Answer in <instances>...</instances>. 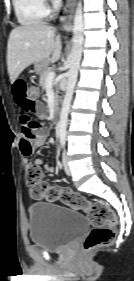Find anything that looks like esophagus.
Instances as JSON below:
<instances>
[{
	"mask_svg": "<svg viewBox=\"0 0 134 281\" xmlns=\"http://www.w3.org/2000/svg\"><path fill=\"white\" fill-rule=\"evenodd\" d=\"M76 0H67L63 10V14L60 17L61 30L69 32L72 30V20L75 10Z\"/></svg>",
	"mask_w": 134,
	"mask_h": 281,
	"instance_id": "obj_1",
	"label": "esophagus"
}]
</instances>
